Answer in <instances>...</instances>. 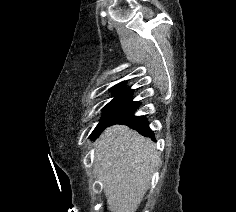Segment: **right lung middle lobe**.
<instances>
[{"mask_svg": "<svg viewBox=\"0 0 236 212\" xmlns=\"http://www.w3.org/2000/svg\"><path fill=\"white\" fill-rule=\"evenodd\" d=\"M129 92L124 93H116L114 94V98L104 107L103 116L91 134V137L96 136L100 133L104 127L106 126L107 122L113 117L117 109L122 105V103L128 98Z\"/></svg>", "mask_w": 236, "mask_h": 212, "instance_id": "obj_1", "label": "right lung middle lobe"}]
</instances>
